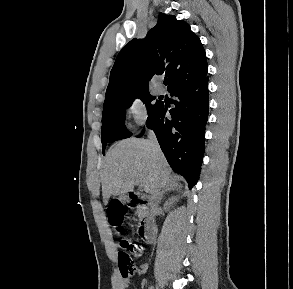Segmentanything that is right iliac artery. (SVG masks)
I'll list each match as a JSON object with an SVG mask.
<instances>
[{
    "label": "right iliac artery",
    "mask_w": 293,
    "mask_h": 289,
    "mask_svg": "<svg viewBox=\"0 0 293 289\" xmlns=\"http://www.w3.org/2000/svg\"><path fill=\"white\" fill-rule=\"evenodd\" d=\"M149 289H153V287L151 286V287H149Z\"/></svg>",
    "instance_id": "obj_1"
}]
</instances>
